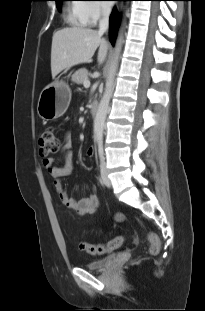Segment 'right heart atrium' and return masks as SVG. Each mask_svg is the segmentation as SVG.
<instances>
[{"label":"right heart atrium","mask_w":205,"mask_h":311,"mask_svg":"<svg viewBox=\"0 0 205 311\" xmlns=\"http://www.w3.org/2000/svg\"><path fill=\"white\" fill-rule=\"evenodd\" d=\"M97 1H92V3H88L83 6V11L87 18L88 23H96L101 18H104L108 15V9Z\"/></svg>","instance_id":"d8ad5b80"}]
</instances>
